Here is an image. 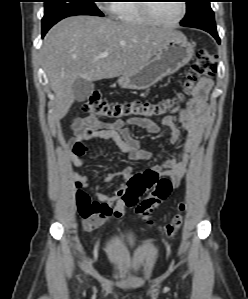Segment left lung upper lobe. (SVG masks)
<instances>
[{
  "label": "left lung upper lobe",
  "mask_w": 248,
  "mask_h": 299,
  "mask_svg": "<svg viewBox=\"0 0 248 299\" xmlns=\"http://www.w3.org/2000/svg\"><path fill=\"white\" fill-rule=\"evenodd\" d=\"M187 11L181 21L182 26L203 29L216 27L210 0H186Z\"/></svg>",
  "instance_id": "1"
}]
</instances>
